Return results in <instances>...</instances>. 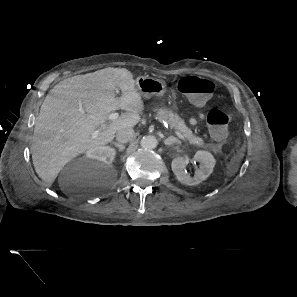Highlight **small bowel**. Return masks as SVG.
Listing matches in <instances>:
<instances>
[{
  "mask_svg": "<svg viewBox=\"0 0 297 297\" xmlns=\"http://www.w3.org/2000/svg\"><path fill=\"white\" fill-rule=\"evenodd\" d=\"M202 117H203V115H202V114H199L198 117L192 118V119L190 120V123H191L192 125H196Z\"/></svg>",
  "mask_w": 297,
  "mask_h": 297,
  "instance_id": "small-bowel-1",
  "label": "small bowel"
}]
</instances>
